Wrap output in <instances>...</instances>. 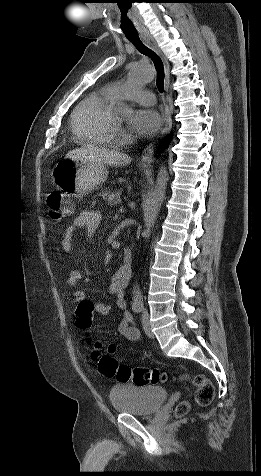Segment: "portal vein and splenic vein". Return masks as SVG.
Here are the masks:
<instances>
[{
  "label": "portal vein and splenic vein",
  "instance_id": "portal-vein-and-splenic-vein-1",
  "mask_svg": "<svg viewBox=\"0 0 261 476\" xmlns=\"http://www.w3.org/2000/svg\"><path fill=\"white\" fill-rule=\"evenodd\" d=\"M123 211H124L123 208H120V212H123Z\"/></svg>",
  "mask_w": 261,
  "mask_h": 476
}]
</instances>
